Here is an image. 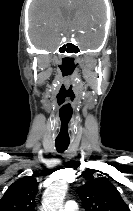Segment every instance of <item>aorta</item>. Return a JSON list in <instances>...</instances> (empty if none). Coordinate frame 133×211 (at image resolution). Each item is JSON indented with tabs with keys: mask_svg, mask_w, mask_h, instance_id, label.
Returning a JSON list of instances; mask_svg holds the SVG:
<instances>
[{
	"mask_svg": "<svg viewBox=\"0 0 133 211\" xmlns=\"http://www.w3.org/2000/svg\"><path fill=\"white\" fill-rule=\"evenodd\" d=\"M67 190L68 184L64 181L50 185L43 195L42 211H63V200Z\"/></svg>",
	"mask_w": 133,
	"mask_h": 211,
	"instance_id": "aorta-1",
	"label": "aorta"
}]
</instances>
